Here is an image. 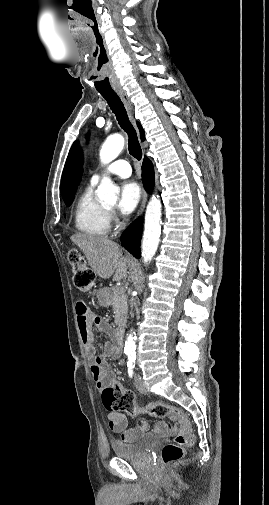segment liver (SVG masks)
<instances>
[{"label": "liver", "instance_id": "1", "mask_svg": "<svg viewBox=\"0 0 269 505\" xmlns=\"http://www.w3.org/2000/svg\"><path fill=\"white\" fill-rule=\"evenodd\" d=\"M70 239L82 250L93 272L102 279L120 281L127 275V258L120 246L109 239L76 233Z\"/></svg>", "mask_w": 269, "mask_h": 505}]
</instances>
